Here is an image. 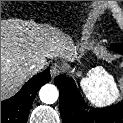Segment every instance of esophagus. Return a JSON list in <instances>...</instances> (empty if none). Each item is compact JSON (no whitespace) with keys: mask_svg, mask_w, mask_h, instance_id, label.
Here are the masks:
<instances>
[{"mask_svg":"<svg viewBox=\"0 0 123 123\" xmlns=\"http://www.w3.org/2000/svg\"><path fill=\"white\" fill-rule=\"evenodd\" d=\"M50 73L52 78L56 77L61 73V66L58 63H55L51 66Z\"/></svg>","mask_w":123,"mask_h":123,"instance_id":"obj_1","label":"esophagus"}]
</instances>
